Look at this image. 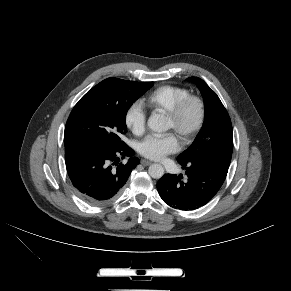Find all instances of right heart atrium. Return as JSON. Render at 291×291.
<instances>
[{
	"label": "right heart atrium",
	"instance_id": "right-heart-atrium-1",
	"mask_svg": "<svg viewBox=\"0 0 291 291\" xmlns=\"http://www.w3.org/2000/svg\"><path fill=\"white\" fill-rule=\"evenodd\" d=\"M124 121L135 135H141L145 131L147 115L139 102H134L127 108Z\"/></svg>",
	"mask_w": 291,
	"mask_h": 291
}]
</instances>
